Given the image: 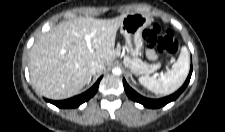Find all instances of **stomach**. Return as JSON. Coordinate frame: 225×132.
<instances>
[{"instance_id":"0dacf381","label":"stomach","mask_w":225,"mask_h":132,"mask_svg":"<svg viewBox=\"0 0 225 132\" xmlns=\"http://www.w3.org/2000/svg\"><path fill=\"white\" fill-rule=\"evenodd\" d=\"M148 24L149 18L144 14L131 13L124 17L120 25V31L125 37L127 52L133 57L141 53L142 32Z\"/></svg>"}]
</instances>
